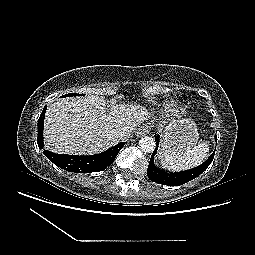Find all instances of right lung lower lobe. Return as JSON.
I'll return each instance as SVG.
<instances>
[{"instance_id":"right-lung-lower-lobe-1","label":"right lung lower lobe","mask_w":255,"mask_h":255,"mask_svg":"<svg viewBox=\"0 0 255 255\" xmlns=\"http://www.w3.org/2000/svg\"><path fill=\"white\" fill-rule=\"evenodd\" d=\"M46 106L38 120V146L40 149L44 147L43 143V125L45 118ZM125 142L119 143L103 153L91 156L65 155L55 154L48 150H44L43 154L58 167L69 171L79 173L98 172L110 166L124 146Z\"/></svg>"}]
</instances>
